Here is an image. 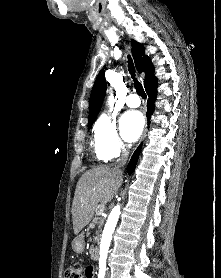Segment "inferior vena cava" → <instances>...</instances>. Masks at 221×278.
<instances>
[{
  "label": "inferior vena cava",
  "instance_id": "1",
  "mask_svg": "<svg viewBox=\"0 0 221 278\" xmlns=\"http://www.w3.org/2000/svg\"><path fill=\"white\" fill-rule=\"evenodd\" d=\"M128 155H129V152L127 150H124L119 164L115 167V169L121 174H122L121 167H123L126 164Z\"/></svg>",
  "mask_w": 221,
  "mask_h": 278
}]
</instances>
